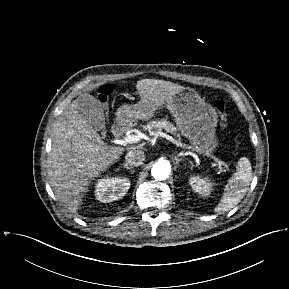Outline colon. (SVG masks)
Segmentation results:
<instances>
[{
    "instance_id": "colon-1",
    "label": "colon",
    "mask_w": 289,
    "mask_h": 289,
    "mask_svg": "<svg viewBox=\"0 0 289 289\" xmlns=\"http://www.w3.org/2000/svg\"><path fill=\"white\" fill-rule=\"evenodd\" d=\"M111 92L112 88L109 85H104L99 89L98 99L103 105L107 103L108 97ZM214 108L220 117L221 125L225 127L227 124V112L225 103L222 100H216L214 102Z\"/></svg>"
}]
</instances>
